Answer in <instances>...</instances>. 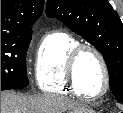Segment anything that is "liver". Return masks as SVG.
Wrapping results in <instances>:
<instances>
[{
    "mask_svg": "<svg viewBox=\"0 0 123 113\" xmlns=\"http://www.w3.org/2000/svg\"><path fill=\"white\" fill-rule=\"evenodd\" d=\"M79 105L59 95H22L1 92V113H64L78 111Z\"/></svg>",
    "mask_w": 123,
    "mask_h": 113,
    "instance_id": "1",
    "label": "liver"
}]
</instances>
